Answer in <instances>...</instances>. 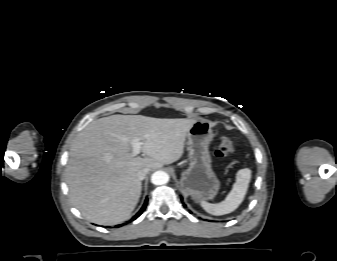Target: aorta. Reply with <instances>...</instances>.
Wrapping results in <instances>:
<instances>
[{
    "label": "aorta",
    "instance_id": "obj_1",
    "mask_svg": "<svg viewBox=\"0 0 337 261\" xmlns=\"http://www.w3.org/2000/svg\"><path fill=\"white\" fill-rule=\"evenodd\" d=\"M169 181V175L164 171H156L151 176V182L154 185H163Z\"/></svg>",
    "mask_w": 337,
    "mask_h": 261
}]
</instances>
